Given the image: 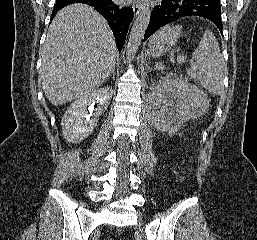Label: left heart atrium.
Instances as JSON below:
<instances>
[{
	"instance_id": "left-heart-atrium-1",
	"label": "left heart atrium",
	"mask_w": 257,
	"mask_h": 240,
	"mask_svg": "<svg viewBox=\"0 0 257 240\" xmlns=\"http://www.w3.org/2000/svg\"><path fill=\"white\" fill-rule=\"evenodd\" d=\"M134 1H145V0H134Z\"/></svg>"
}]
</instances>
